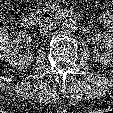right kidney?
<instances>
[{
  "label": "right kidney",
  "instance_id": "ca27d5eb",
  "mask_svg": "<svg viewBox=\"0 0 113 113\" xmlns=\"http://www.w3.org/2000/svg\"><path fill=\"white\" fill-rule=\"evenodd\" d=\"M25 42L27 47L31 46L32 39L31 37L22 32L16 35V37L9 44L8 49L3 54L5 62L12 67H27L33 61V55L29 51L24 52L23 54H18L19 44Z\"/></svg>",
  "mask_w": 113,
  "mask_h": 113
}]
</instances>
